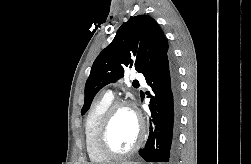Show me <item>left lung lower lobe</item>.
Wrapping results in <instances>:
<instances>
[{
  "mask_svg": "<svg viewBox=\"0 0 251 164\" xmlns=\"http://www.w3.org/2000/svg\"><path fill=\"white\" fill-rule=\"evenodd\" d=\"M151 87L149 137L139 155L147 162L173 164L176 156L179 125V81L169 54L146 77Z\"/></svg>",
  "mask_w": 251,
  "mask_h": 164,
  "instance_id": "left-lung-lower-lobe-1",
  "label": "left lung lower lobe"
}]
</instances>
